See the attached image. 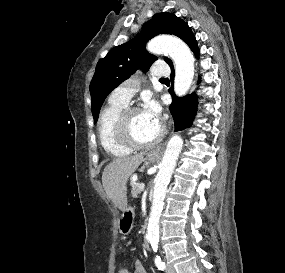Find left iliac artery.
<instances>
[{
  "instance_id": "44dca946",
  "label": "left iliac artery",
  "mask_w": 285,
  "mask_h": 273,
  "mask_svg": "<svg viewBox=\"0 0 285 273\" xmlns=\"http://www.w3.org/2000/svg\"><path fill=\"white\" fill-rule=\"evenodd\" d=\"M155 265L159 270L162 271L166 268L165 262H163L159 256H156L155 258Z\"/></svg>"
}]
</instances>
